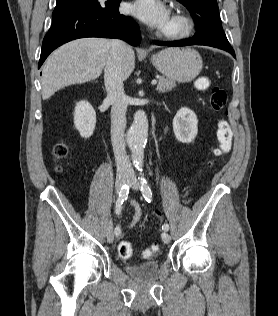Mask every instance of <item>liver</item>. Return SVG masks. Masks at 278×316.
Masks as SVG:
<instances>
[{"mask_svg": "<svg viewBox=\"0 0 278 316\" xmlns=\"http://www.w3.org/2000/svg\"><path fill=\"white\" fill-rule=\"evenodd\" d=\"M111 41L103 38H81L64 44L46 60L42 69V97L49 99L64 87L82 84L100 76L110 55ZM135 68V53L128 46L122 77L126 80Z\"/></svg>", "mask_w": 278, "mask_h": 316, "instance_id": "1", "label": "liver"}]
</instances>
